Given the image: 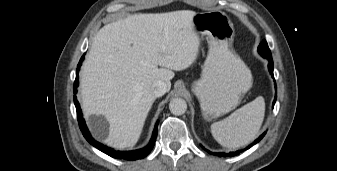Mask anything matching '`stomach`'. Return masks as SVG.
Here are the masks:
<instances>
[{"mask_svg":"<svg viewBox=\"0 0 337 171\" xmlns=\"http://www.w3.org/2000/svg\"><path fill=\"white\" fill-rule=\"evenodd\" d=\"M193 27L197 34L206 36L209 51L192 91L200 102L203 118L211 121L239 105L252 87V74L231 49L234 28L224 12L196 13Z\"/></svg>","mask_w":337,"mask_h":171,"instance_id":"stomach-1","label":"stomach"}]
</instances>
